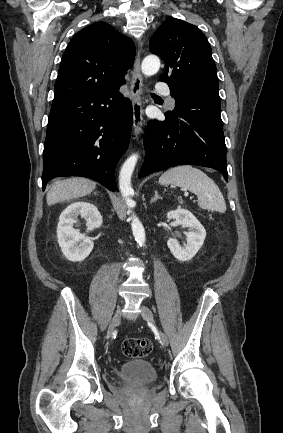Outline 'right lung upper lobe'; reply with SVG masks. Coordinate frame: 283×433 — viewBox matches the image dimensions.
Wrapping results in <instances>:
<instances>
[{"mask_svg": "<svg viewBox=\"0 0 283 433\" xmlns=\"http://www.w3.org/2000/svg\"><path fill=\"white\" fill-rule=\"evenodd\" d=\"M134 58V42L110 24L96 22L87 26L66 48L52 104L121 86Z\"/></svg>", "mask_w": 283, "mask_h": 433, "instance_id": "1", "label": "right lung upper lobe"}]
</instances>
